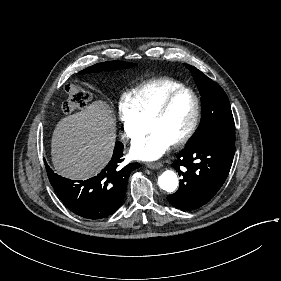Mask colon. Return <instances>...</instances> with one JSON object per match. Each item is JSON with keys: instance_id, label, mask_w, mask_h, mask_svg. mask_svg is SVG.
I'll return each mask as SVG.
<instances>
[{"instance_id": "1", "label": "colon", "mask_w": 281, "mask_h": 281, "mask_svg": "<svg viewBox=\"0 0 281 281\" xmlns=\"http://www.w3.org/2000/svg\"><path fill=\"white\" fill-rule=\"evenodd\" d=\"M66 92L67 99L63 102L62 108L67 114L86 107L91 101V94L78 86L69 85Z\"/></svg>"}]
</instances>
